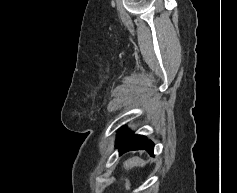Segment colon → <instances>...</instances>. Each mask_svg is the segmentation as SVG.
I'll use <instances>...</instances> for the list:
<instances>
[{
	"mask_svg": "<svg viewBox=\"0 0 237 193\" xmlns=\"http://www.w3.org/2000/svg\"><path fill=\"white\" fill-rule=\"evenodd\" d=\"M144 166H145V161H143L142 159H139V158L130 159L124 164V168H125L127 175H128V187H130V178H129L130 171L135 167L142 168Z\"/></svg>",
	"mask_w": 237,
	"mask_h": 193,
	"instance_id": "5ec220e1",
	"label": "colon"
}]
</instances>
